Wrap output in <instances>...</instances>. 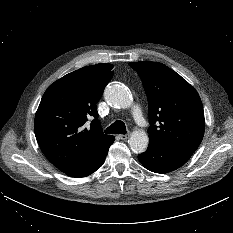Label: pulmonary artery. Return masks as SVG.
Returning a JSON list of instances; mask_svg holds the SVG:
<instances>
[{
    "label": "pulmonary artery",
    "mask_w": 233,
    "mask_h": 233,
    "mask_svg": "<svg viewBox=\"0 0 233 233\" xmlns=\"http://www.w3.org/2000/svg\"><path fill=\"white\" fill-rule=\"evenodd\" d=\"M131 114L135 120V122L140 126L144 127L146 125V122L143 118L141 109L138 105H134L131 110Z\"/></svg>",
    "instance_id": "e3ab8cb5"
}]
</instances>
